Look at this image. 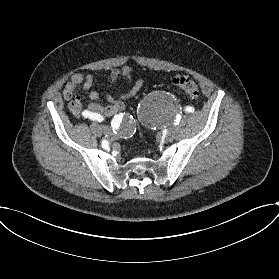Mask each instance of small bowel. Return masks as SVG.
Listing matches in <instances>:
<instances>
[{
	"instance_id": "c3829d8e",
	"label": "small bowel",
	"mask_w": 279,
	"mask_h": 279,
	"mask_svg": "<svg viewBox=\"0 0 279 279\" xmlns=\"http://www.w3.org/2000/svg\"><path fill=\"white\" fill-rule=\"evenodd\" d=\"M133 78V68L131 66H123L122 68L112 69L107 75L106 81L109 85H114L119 79H125L131 82ZM94 78L91 74L75 73L65 84L63 89V97L69 102V109L72 114L79 119H91L96 114L112 115L126 107L127 101L133 98L142 86L141 81H137L135 85L128 91L116 96H108L106 103H97L99 98L97 91L92 90ZM89 91V98L92 100L84 107L78 91Z\"/></svg>"
}]
</instances>
